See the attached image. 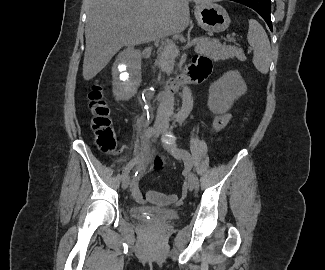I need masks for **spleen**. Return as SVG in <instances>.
Instances as JSON below:
<instances>
[{
    "mask_svg": "<svg viewBox=\"0 0 325 270\" xmlns=\"http://www.w3.org/2000/svg\"><path fill=\"white\" fill-rule=\"evenodd\" d=\"M248 42L253 47V64L262 74H267L271 62V46L268 36L255 19H249Z\"/></svg>",
    "mask_w": 325,
    "mask_h": 270,
    "instance_id": "obj_1",
    "label": "spleen"
}]
</instances>
